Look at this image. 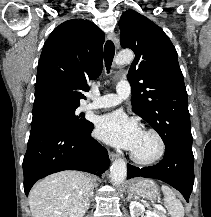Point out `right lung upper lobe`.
<instances>
[{"label":"right lung upper lobe","mask_w":211,"mask_h":217,"mask_svg":"<svg viewBox=\"0 0 211 217\" xmlns=\"http://www.w3.org/2000/svg\"><path fill=\"white\" fill-rule=\"evenodd\" d=\"M104 32L83 19L65 21L46 40L38 63L33 119L76 109L81 91L102 71Z\"/></svg>","instance_id":"1"}]
</instances>
